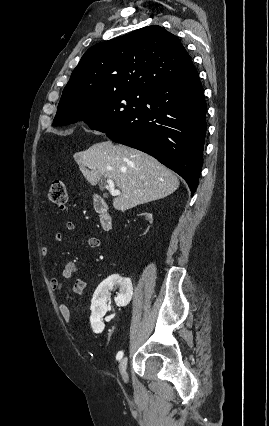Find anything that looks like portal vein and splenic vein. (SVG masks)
<instances>
[{"label":"portal vein and splenic vein","instance_id":"obj_1","mask_svg":"<svg viewBox=\"0 0 269 426\" xmlns=\"http://www.w3.org/2000/svg\"><path fill=\"white\" fill-rule=\"evenodd\" d=\"M106 182H107V188H108V190H109V192H110V194L112 196H118V195H120V191L117 190V189H115V183H114L113 180L107 179Z\"/></svg>","mask_w":269,"mask_h":426}]
</instances>
